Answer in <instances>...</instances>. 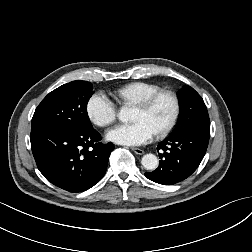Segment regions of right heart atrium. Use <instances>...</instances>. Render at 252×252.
<instances>
[{
  "label": "right heart atrium",
  "mask_w": 252,
  "mask_h": 252,
  "mask_svg": "<svg viewBox=\"0 0 252 252\" xmlns=\"http://www.w3.org/2000/svg\"><path fill=\"white\" fill-rule=\"evenodd\" d=\"M86 114L96 126L106 127L115 121L117 107L106 94L97 92L87 100Z\"/></svg>",
  "instance_id": "obj_1"
}]
</instances>
